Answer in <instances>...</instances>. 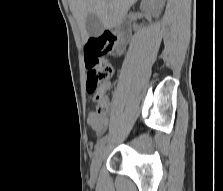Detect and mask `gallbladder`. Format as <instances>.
<instances>
[{"label":"gallbladder","instance_id":"obj_1","mask_svg":"<svg viewBox=\"0 0 223 191\" xmlns=\"http://www.w3.org/2000/svg\"><path fill=\"white\" fill-rule=\"evenodd\" d=\"M85 27L90 37H98L102 34L104 26L95 14H89L86 18Z\"/></svg>","mask_w":223,"mask_h":191}]
</instances>
